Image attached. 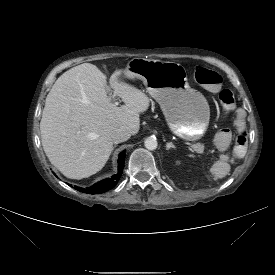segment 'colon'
<instances>
[{"label":"colon","mask_w":275,"mask_h":275,"mask_svg":"<svg viewBox=\"0 0 275 275\" xmlns=\"http://www.w3.org/2000/svg\"><path fill=\"white\" fill-rule=\"evenodd\" d=\"M194 77L198 84H200L201 86L205 87L210 91L218 90L222 83V78L217 72L206 68H202V67H198L195 70ZM218 96L221 104L222 114H226L233 107V104H234L233 94L228 89H222L219 92ZM246 146H247V133L245 131H239L235 137V147H234L235 154L238 156L243 155L246 150Z\"/></svg>","instance_id":"1"}]
</instances>
